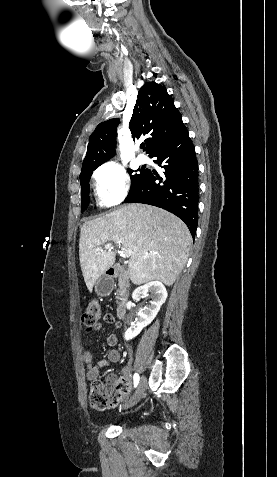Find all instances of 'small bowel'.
Masks as SVG:
<instances>
[{"instance_id": "obj_1", "label": "small bowel", "mask_w": 277, "mask_h": 477, "mask_svg": "<svg viewBox=\"0 0 277 477\" xmlns=\"http://www.w3.org/2000/svg\"><path fill=\"white\" fill-rule=\"evenodd\" d=\"M103 320L107 324H114L117 329L122 327V323L115 320V317L112 314H105ZM102 327L101 323H98L94 330H99ZM107 343L109 346H115L118 341V337L116 334L111 333L107 336ZM121 358V354L116 349H111L105 358H102L98 361L94 360L93 353L90 350H87L83 354V361L87 367L86 377L89 381H96L99 377L100 370L104 367L109 366L110 364L117 363ZM128 372L127 369L124 370V374L126 375ZM110 383H118L115 375H110L109 377Z\"/></svg>"}]
</instances>
